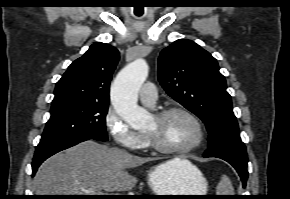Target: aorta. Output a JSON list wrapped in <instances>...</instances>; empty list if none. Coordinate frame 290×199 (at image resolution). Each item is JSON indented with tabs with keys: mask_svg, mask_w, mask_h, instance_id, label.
I'll return each mask as SVG.
<instances>
[{
	"mask_svg": "<svg viewBox=\"0 0 290 199\" xmlns=\"http://www.w3.org/2000/svg\"><path fill=\"white\" fill-rule=\"evenodd\" d=\"M149 72L148 64L137 59L123 68L111 86V101L115 111L133 128L148 125L150 114L137 105L138 92Z\"/></svg>",
	"mask_w": 290,
	"mask_h": 199,
	"instance_id": "obj_1",
	"label": "aorta"
}]
</instances>
